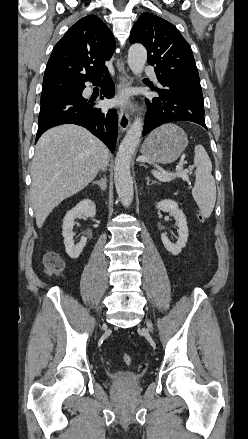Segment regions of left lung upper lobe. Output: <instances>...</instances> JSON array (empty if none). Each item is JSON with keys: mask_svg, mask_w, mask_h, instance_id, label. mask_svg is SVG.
<instances>
[{"mask_svg": "<svg viewBox=\"0 0 248 439\" xmlns=\"http://www.w3.org/2000/svg\"><path fill=\"white\" fill-rule=\"evenodd\" d=\"M129 41L145 46L147 62L154 66L160 83L202 93L191 47L174 25L143 13L132 28Z\"/></svg>", "mask_w": 248, "mask_h": 439, "instance_id": "5c2ea615", "label": "left lung upper lobe"}]
</instances>
